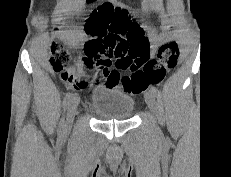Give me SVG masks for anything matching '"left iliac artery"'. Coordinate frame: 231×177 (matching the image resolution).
Listing matches in <instances>:
<instances>
[{
    "label": "left iliac artery",
    "mask_w": 231,
    "mask_h": 177,
    "mask_svg": "<svg viewBox=\"0 0 231 177\" xmlns=\"http://www.w3.org/2000/svg\"><path fill=\"white\" fill-rule=\"evenodd\" d=\"M150 91L154 94V96H159V90L156 87L152 86Z\"/></svg>",
    "instance_id": "1"
}]
</instances>
